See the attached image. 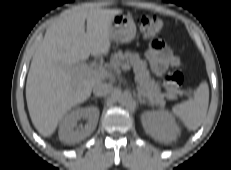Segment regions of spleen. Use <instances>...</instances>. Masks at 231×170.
Listing matches in <instances>:
<instances>
[{"label":"spleen","mask_w":231,"mask_h":170,"mask_svg":"<svg viewBox=\"0 0 231 170\" xmlns=\"http://www.w3.org/2000/svg\"><path fill=\"white\" fill-rule=\"evenodd\" d=\"M209 104V87L199 85L194 97L173 107V114L190 130H196L204 121Z\"/></svg>","instance_id":"3e777b00"}]
</instances>
